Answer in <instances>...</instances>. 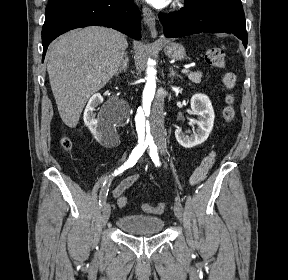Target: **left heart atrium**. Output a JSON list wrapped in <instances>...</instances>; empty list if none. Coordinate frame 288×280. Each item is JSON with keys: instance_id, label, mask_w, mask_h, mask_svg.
<instances>
[{"instance_id": "left-heart-atrium-1", "label": "left heart atrium", "mask_w": 288, "mask_h": 280, "mask_svg": "<svg viewBox=\"0 0 288 280\" xmlns=\"http://www.w3.org/2000/svg\"><path fill=\"white\" fill-rule=\"evenodd\" d=\"M146 1L154 5L155 7L161 8L168 5L171 0H146Z\"/></svg>"}]
</instances>
